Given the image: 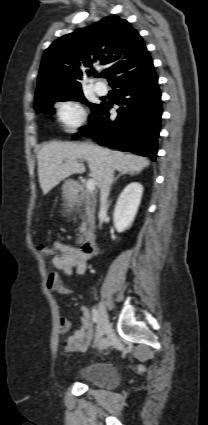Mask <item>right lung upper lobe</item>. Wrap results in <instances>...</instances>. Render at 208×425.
I'll return each instance as SVG.
<instances>
[{
  "label": "right lung upper lobe",
  "mask_w": 208,
  "mask_h": 425,
  "mask_svg": "<svg viewBox=\"0 0 208 425\" xmlns=\"http://www.w3.org/2000/svg\"><path fill=\"white\" fill-rule=\"evenodd\" d=\"M144 42L131 24L118 16H108L80 31L67 34L45 50L35 95V103L50 93L81 90V70L96 63L108 65L104 75L111 82L127 67L147 57ZM94 74V69L87 70Z\"/></svg>",
  "instance_id": "cb5924a9"
}]
</instances>
